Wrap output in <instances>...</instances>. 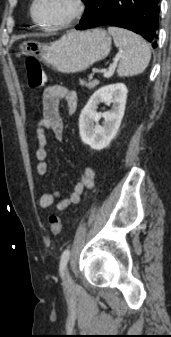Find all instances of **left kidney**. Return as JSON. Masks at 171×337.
I'll return each mask as SVG.
<instances>
[{
    "label": "left kidney",
    "mask_w": 171,
    "mask_h": 337,
    "mask_svg": "<svg viewBox=\"0 0 171 337\" xmlns=\"http://www.w3.org/2000/svg\"><path fill=\"white\" fill-rule=\"evenodd\" d=\"M127 87L117 83L101 87L90 97L79 117V133L82 141L92 149L106 148L116 136L125 112ZM101 102L112 104L111 110L98 113ZM104 118L102 126L99 120Z\"/></svg>",
    "instance_id": "5707ae66"
}]
</instances>
